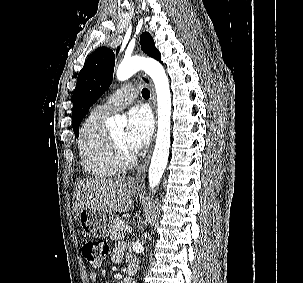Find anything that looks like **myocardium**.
<instances>
[{
  "label": "myocardium",
  "instance_id": "1",
  "mask_svg": "<svg viewBox=\"0 0 303 283\" xmlns=\"http://www.w3.org/2000/svg\"><path fill=\"white\" fill-rule=\"evenodd\" d=\"M108 141L114 163L119 169H129L136 164V157L132 153L123 150L112 134H108Z\"/></svg>",
  "mask_w": 303,
  "mask_h": 283
}]
</instances>
